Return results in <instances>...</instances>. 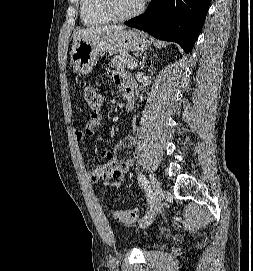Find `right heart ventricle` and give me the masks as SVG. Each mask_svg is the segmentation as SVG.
I'll return each mask as SVG.
<instances>
[{
  "instance_id": "1",
  "label": "right heart ventricle",
  "mask_w": 253,
  "mask_h": 271,
  "mask_svg": "<svg viewBox=\"0 0 253 271\" xmlns=\"http://www.w3.org/2000/svg\"><path fill=\"white\" fill-rule=\"evenodd\" d=\"M80 17L83 24L89 27L105 25L112 21L102 10L100 0H80Z\"/></svg>"
}]
</instances>
